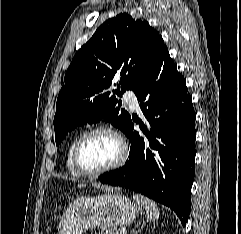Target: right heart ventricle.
<instances>
[{
  "label": "right heart ventricle",
  "instance_id": "e07e8e85",
  "mask_svg": "<svg viewBox=\"0 0 241 234\" xmlns=\"http://www.w3.org/2000/svg\"><path fill=\"white\" fill-rule=\"evenodd\" d=\"M80 136H81V134H76L73 136V138L70 141V144L68 146L66 160H65L66 169L74 177L81 176V174L76 170L74 163H73V150H74L75 144Z\"/></svg>",
  "mask_w": 241,
  "mask_h": 234
}]
</instances>
